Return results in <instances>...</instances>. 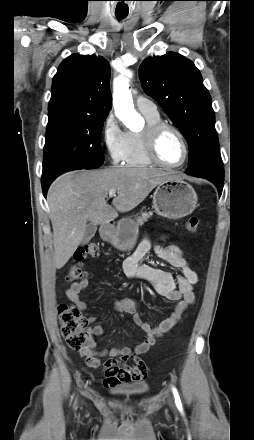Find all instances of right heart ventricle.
I'll return each instance as SVG.
<instances>
[{"label": "right heart ventricle", "instance_id": "right-heart-ventricle-1", "mask_svg": "<svg viewBox=\"0 0 254 440\" xmlns=\"http://www.w3.org/2000/svg\"><path fill=\"white\" fill-rule=\"evenodd\" d=\"M143 115L147 121V126L161 121L159 113ZM124 163L130 167H150L155 165L145 151L144 130L141 132H129V142Z\"/></svg>", "mask_w": 254, "mask_h": 440}]
</instances>
